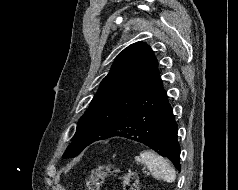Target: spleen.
<instances>
[{"label": "spleen", "mask_w": 238, "mask_h": 190, "mask_svg": "<svg viewBox=\"0 0 238 190\" xmlns=\"http://www.w3.org/2000/svg\"><path fill=\"white\" fill-rule=\"evenodd\" d=\"M136 160L146 165L156 179H162L169 183L175 181V169L160 155L152 151H144L139 157H136Z\"/></svg>", "instance_id": "obj_1"}]
</instances>
